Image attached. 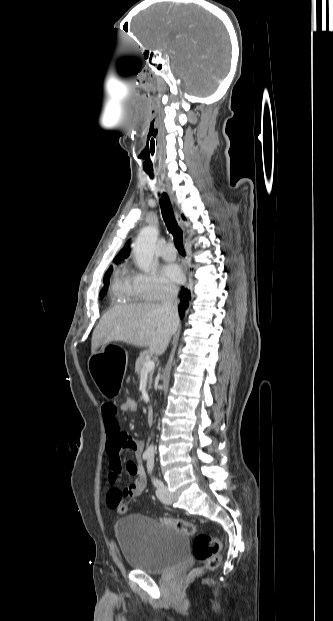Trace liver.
<instances>
[{
    "label": "liver",
    "mask_w": 333,
    "mask_h": 621,
    "mask_svg": "<svg viewBox=\"0 0 333 621\" xmlns=\"http://www.w3.org/2000/svg\"><path fill=\"white\" fill-rule=\"evenodd\" d=\"M171 330L172 325L159 304L116 305L102 316L93 331L91 352L112 341H121L136 347L148 346L161 355L167 348Z\"/></svg>",
    "instance_id": "liver-1"
}]
</instances>
